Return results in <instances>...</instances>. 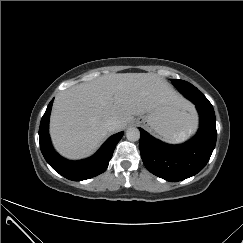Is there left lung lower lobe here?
I'll return each mask as SVG.
<instances>
[{"instance_id":"1","label":"left lung lower lobe","mask_w":243,"mask_h":243,"mask_svg":"<svg viewBox=\"0 0 243 243\" xmlns=\"http://www.w3.org/2000/svg\"><path fill=\"white\" fill-rule=\"evenodd\" d=\"M178 90L198 110L200 127L195 137L184 144L169 145L139 128L140 153L145 167L170 182L184 180L201 171L210 159L217 138L215 113L208 99L190 83Z\"/></svg>"}]
</instances>
